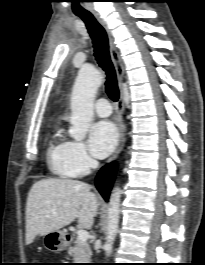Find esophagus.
Segmentation results:
<instances>
[{
  "mask_svg": "<svg viewBox=\"0 0 205 265\" xmlns=\"http://www.w3.org/2000/svg\"><path fill=\"white\" fill-rule=\"evenodd\" d=\"M94 16H95L96 20L99 22V24L105 29V31L107 33V37H108V41H109L110 56H111V60L113 62L115 70H116V75H117L119 88H120V96H119V100H118L117 106H116L117 115H118V122H119L120 137H119L118 147H117L114 155L110 159V161H113L114 159L117 158L119 153L122 151V149L124 147V143H125V127H124L123 120H122V116H123V112H124L122 82L124 79L125 70H124V65H123L122 59L120 57L119 51L115 46L113 35H112L110 29L108 28L106 22L98 14L95 13Z\"/></svg>",
  "mask_w": 205,
  "mask_h": 265,
  "instance_id": "34e87169",
  "label": "esophagus"
}]
</instances>
